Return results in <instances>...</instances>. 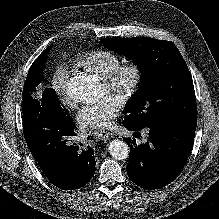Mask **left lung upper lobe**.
Masks as SVG:
<instances>
[{
	"mask_svg": "<svg viewBox=\"0 0 219 219\" xmlns=\"http://www.w3.org/2000/svg\"><path fill=\"white\" fill-rule=\"evenodd\" d=\"M101 43L130 58L141 71V87L124 110L138 129L197 119L193 81L177 47L153 38H106Z\"/></svg>",
	"mask_w": 219,
	"mask_h": 219,
	"instance_id": "left-lung-upper-lobe-1",
	"label": "left lung upper lobe"
}]
</instances>
